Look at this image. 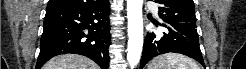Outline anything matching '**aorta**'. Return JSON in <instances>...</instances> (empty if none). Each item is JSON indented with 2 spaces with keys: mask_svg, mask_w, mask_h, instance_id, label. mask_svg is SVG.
I'll return each instance as SVG.
<instances>
[{
  "mask_svg": "<svg viewBox=\"0 0 246 69\" xmlns=\"http://www.w3.org/2000/svg\"><path fill=\"white\" fill-rule=\"evenodd\" d=\"M143 0H127L128 47L127 61L134 69L140 61L143 49Z\"/></svg>",
  "mask_w": 246,
  "mask_h": 69,
  "instance_id": "aorta-1",
  "label": "aorta"
}]
</instances>
